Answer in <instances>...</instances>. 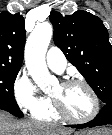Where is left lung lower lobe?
<instances>
[{
  "mask_svg": "<svg viewBox=\"0 0 112 135\" xmlns=\"http://www.w3.org/2000/svg\"><path fill=\"white\" fill-rule=\"evenodd\" d=\"M112 124V103L105 104L99 114L90 122L80 125H67L72 128H86Z\"/></svg>",
  "mask_w": 112,
  "mask_h": 135,
  "instance_id": "left-lung-lower-lobe-1",
  "label": "left lung lower lobe"
}]
</instances>
